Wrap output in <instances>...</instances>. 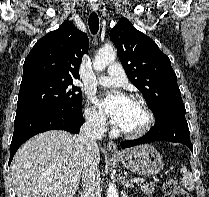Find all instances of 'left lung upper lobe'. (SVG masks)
Returning a JSON list of instances; mask_svg holds the SVG:
<instances>
[{"label":"left lung upper lobe","mask_w":209,"mask_h":197,"mask_svg":"<svg viewBox=\"0 0 209 197\" xmlns=\"http://www.w3.org/2000/svg\"><path fill=\"white\" fill-rule=\"evenodd\" d=\"M119 59L129 80L147 99L156 115L174 107H184L171 62L148 36L121 18L110 31Z\"/></svg>","instance_id":"5c2ea615"}]
</instances>
